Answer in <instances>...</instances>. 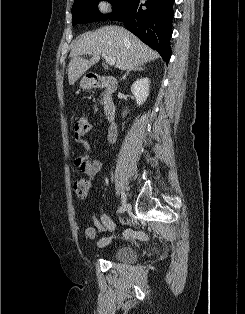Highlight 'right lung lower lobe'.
I'll return each mask as SVG.
<instances>
[{"instance_id":"98d812e1","label":"right lung lower lobe","mask_w":245,"mask_h":314,"mask_svg":"<svg viewBox=\"0 0 245 314\" xmlns=\"http://www.w3.org/2000/svg\"><path fill=\"white\" fill-rule=\"evenodd\" d=\"M174 0H129L107 19L123 22L126 28L155 49L168 62L171 57Z\"/></svg>"}]
</instances>
